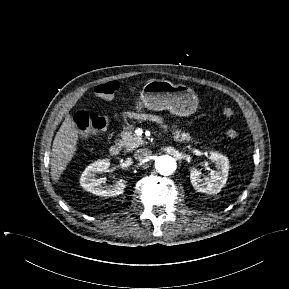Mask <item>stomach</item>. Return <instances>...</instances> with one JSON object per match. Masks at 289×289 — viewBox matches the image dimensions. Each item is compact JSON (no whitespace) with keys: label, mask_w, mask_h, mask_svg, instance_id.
<instances>
[{"label":"stomach","mask_w":289,"mask_h":289,"mask_svg":"<svg viewBox=\"0 0 289 289\" xmlns=\"http://www.w3.org/2000/svg\"><path fill=\"white\" fill-rule=\"evenodd\" d=\"M198 107V98L194 91L185 85H174L167 80L148 81L140 94L137 110H169L178 116H189Z\"/></svg>","instance_id":"stomach-1"}]
</instances>
